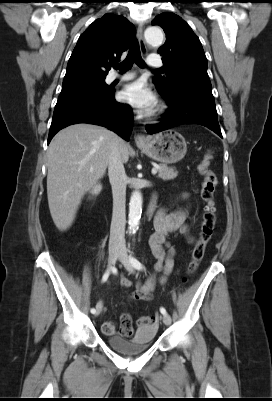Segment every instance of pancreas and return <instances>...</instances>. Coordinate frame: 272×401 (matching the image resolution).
I'll return each mask as SVG.
<instances>
[{"mask_svg":"<svg viewBox=\"0 0 272 401\" xmlns=\"http://www.w3.org/2000/svg\"><path fill=\"white\" fill-rule=\"evenodd\" d=\"M178 172L173 167H168L165 164L159 166L158 177L163 180H171L176 178Z\"/></svg>","mask_w":272,"mask_h":401,"instance_id":"obj_1","label":"pancreas"}]
</instances>
